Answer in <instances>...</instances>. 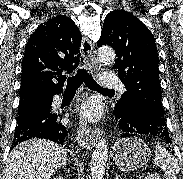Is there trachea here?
I'll list each match as a JSON object with an SVG mask.
<instances>
[{"mask_svg":"<svg viewBox=\"0 0 183 179\" xmlns=\"http://www.w3.org/2000/svg\"><path fill=\"white\" fill-rule=\"evenodd\" d=\"M82 83L93 90L99 91H114L101 87L97 82L93 79L91 74H88L84 68H81L77 71V74L73 77L68 78L67 80V91H76Z\"/></svg>","mask_w":183,"mask_h":179,"instance_id":"3493384b","label":"trachea"}]
</instances>
